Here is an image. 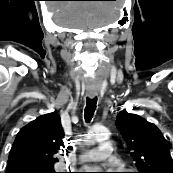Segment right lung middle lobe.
I'll list each match as a JSON object with an SVG mask.
<instances>
[{"label":"right lung middle lobe","instance_id":"obj_1","mask_svg":"<svg viewBox=\"0 0 173 173\" xmlns=\"http://www.w3.org/2000/svg\"><path fill=\"white\" fill-rule=\"evenodd\" d=\"M31 173H56L54 169H45V170H38V171H32Z\"/></svg>","mask_w":173,"mask_h":173}]
</instances>
